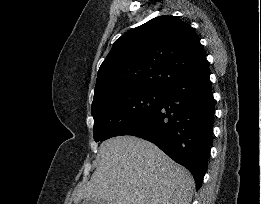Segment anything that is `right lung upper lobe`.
I'll list each match as a JSON object with an SVG mask.
<instances>
[{
  "label": "right lung upper lobe",
  "mask_w": 261,
  "mask_h": 204,
  "mask_svg": "<svg viewBox=\"0 0 261 204\" xmlns=\"http://www.w3.org/2000/svg\"><path fill=\"white\" fill-rule=\"evenodd\" d=\"M205 60L188 23L175 16L156 17L114 42L99 68L92 105L120 90L164 91Z\"/></svg>",
  "instance_id": "obj_1"
}]
</instances>
